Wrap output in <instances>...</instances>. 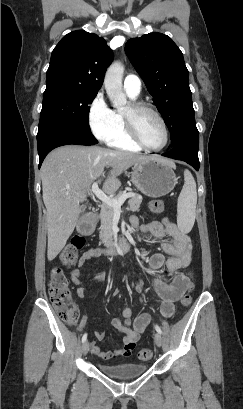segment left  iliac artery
<instances>
[{
  "label": "left iliac artery",
  "mask_w": 243,
  "mask_h": 409,
  "mask_svg": "<svg viewBox=\"0 0 243 409\" xmlns=\"http://www.w3.org/2000/svg\"><path fill=\"white\" fill-rule=\"evenodd\" d=\"M155 329L158 333L162 334V330L158 325H155Z\"/></svg>",
  "instance_id": "1"
}]
</instances>
